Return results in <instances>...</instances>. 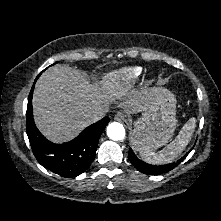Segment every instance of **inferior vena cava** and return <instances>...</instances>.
I'll return each mask as SVG.
<instances>
[{
	"label": "inferior vena cava",
	"instance_id": "obj_1",
	"mask_svg": "<svg viewBox=\"0 0 221 221\" xmlns=\"http://www.w3.org/2000/svg\"><path fill=\"white\" fill-rule=\"evenodd\" d=\"M104 116H105V112L93 113V114L87 115L86 122L88 124H92L101 120Z\"/></svg>",
	"mask_w": 221,
	"mask_h": 221
}]
</instances>
